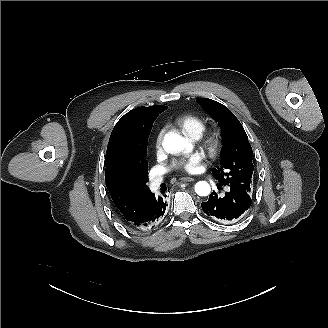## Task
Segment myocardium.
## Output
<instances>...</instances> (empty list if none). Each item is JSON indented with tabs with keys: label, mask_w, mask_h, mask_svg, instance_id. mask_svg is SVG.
Masks as SVG:
<instances>
[{
	"label": "myocardium",
	"mask_w": 328,
	"mask_h": 328,
	"mask_svg": "<svg viewBox=\"0 0 328 328\" xmlns=\"http://www.w3.org/2000/svg\"><path fill=\"white\" fill-rule=\"evenodd\" d=\"M226 145V134L218 124L207 125L203 133L196 138H188L184 149L186 153L194 148L206 151L209 164L216 163L221 157Z\"/></svg>",
	"instance_id": "f54148a6"
}]
</instances>
